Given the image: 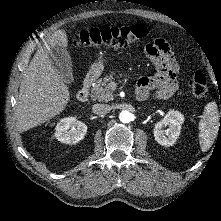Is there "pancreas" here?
I'll use <instances>...</instances> for the list:
<instances>
[{
    "mask_svg": "<svg viewBox=\"0 0 221 221\" xmlns=\"http://www.w3.org/2000/svg\"><path fill=\"white\" fill-rule=\"evenodd\" d=\"M112 79V74L105 76L103 79H99L91 89V98L93 100L97 99L104 102L113 100V92L109 89V83Z\"/></svg>",
    "mask_w": 221,
    "mask_h": 221,
    "instance_id": "pancreas-1",
    "label": "pancreas"
}]
</instances>
